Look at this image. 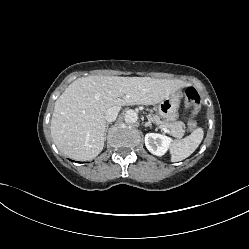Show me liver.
I'll return each mask as SVG.
<instances>
[{"instance_id": "liver-1", "label": "liver", "mask_w": 249, "mask_h": 249, "mask_svg": "<svg viewBox=\"0 0 249 249\" xmlns=\"http://www.w3.org/2000/svg\"><path fill=\"white\" fill-rule=\"evenodd\" d=\"M177 79L88 76L72 82L55 102L51 136L60 152L88 161L103 149L106 111L114 106L154 105L180 88Z\"/></svg>"}]
</instances>
